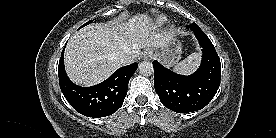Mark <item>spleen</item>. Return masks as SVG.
Segmentation results:
<instances>
[{
	"mask_svg": "<svg viewBox=\"0 0 276 138\" xmlns=\"http://www.w3.org/2000/svg\"><path fill=\"white\" fill-rule=\"evenodd\" d=\"M200 54L195 52L189 55L183 61L177 63L173 70L177 73L189 75L194 72L199 65Z\"/></svg>",
	"mask_w": 276,
	"mask_h": 138,
	"instance_id": "1",
	"label": "spleen"
}]
</instances>
